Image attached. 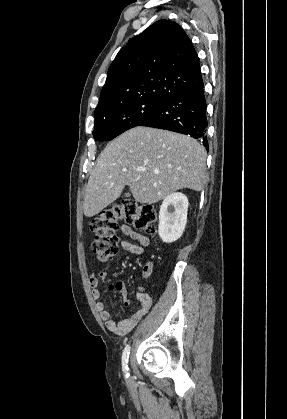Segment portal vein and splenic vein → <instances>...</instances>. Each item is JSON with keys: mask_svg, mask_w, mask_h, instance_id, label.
<instances>
[{"mask_svg": "<svg viewBox=\"0 0 287 419\" xmlns=\"http://www.w3.org/2000/svg\"><path fill=\"white\" fill-rule=\"evenodd\" d=\"M139 171L144 172L145 170L144 169H139Z\"/></svg>", "mask_w": 287, "mask_h": 419, "instance_id": "portal-vein-and-splenic-vein-1", "label": "portal vein and splenic vein"}]
</instances>
